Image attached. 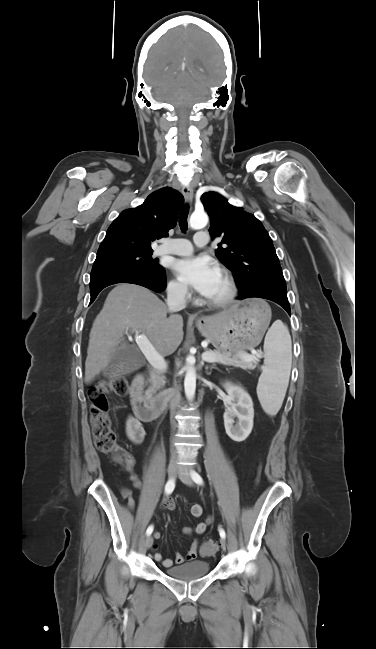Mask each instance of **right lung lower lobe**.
Listing matches in <instances>:
<instances>
[{
  "label": "right lung lower lobe",
  "mask_w": 376,
  "mask_h": 649,
  "mask_svg": "<svg viewBox=\"0 0 376 649\" xmlns=\"http://www.w3.org/2000/svg\"><path fill=\"white\" fill-rule=\"evenodd\" d=\"M116 283L137 284L159 293L166 288L165 271L162 267L159 270L111 267L93 272L90 280V304L102 289Z\"/></svg>",
  "instance_id": "right-lung-lower-lobe-1"
}]
</instances>
